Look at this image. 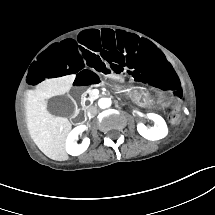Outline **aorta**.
Masks as SVG:
<instances>
[{
	"label": "aorta",
	"instance_id": "aorta-1",
	"mask_svg": "<svg viewBox=\"0 0 215 215\" xmlns=\"http://www.w3.org/2000/svg\"><path fill=\"white\" fill-rule=\"evenodd\" d=\"M112 104V101L110 98H101L98 100V106L101 108V109H106V108H109Z\"/></svg>",
	"mask_w": 215,
	"mask_h": 215
}]
</instances>
